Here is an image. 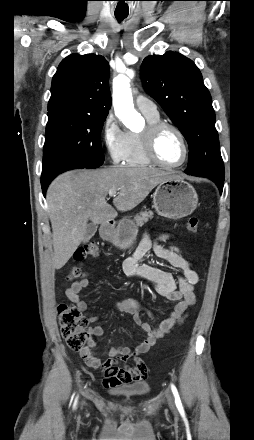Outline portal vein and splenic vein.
Masks as SVG:
<instances>
[{
  "label": "portal vein and splenic vein",
  "instance_id": "portal-vein-and-splenic-vein-1",
  "mask_svg": "<svg viewBox=\"0 0 254 440\" xmlns=\"http://www.w3.org/2000/svg\"><path fill=\"white\" fill-rule=\"evenodd\" d=\"M116 193H117V191H116V190H114V189H112V190H109V192H108V194H109V196H110V197H112V196H115V195H116Z\"/></svg>",
  "mask_w": 254,
  "mask_h": 440
}]
</instances>
